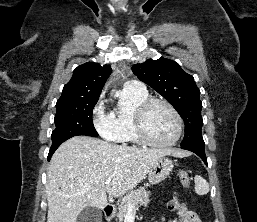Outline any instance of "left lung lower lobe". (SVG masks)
<instances>
[{
	"label": "left lung lower lobe",
	"instance_id": "left-lung-lower-lobe-1",
	"mask_svg": "<svg viewBox=\"0 0 257 222\" xmlns=\"http://www.w3.org/2000/svg\"><path fill=\"white\" fill-rule=\"evenodd\" d=\"M182 149L192 151L196 153L207 165V158L205 155V149L204 148H199V147H181Z\"/></svg>",
	"mask_w": 257,
	"mask_h": 222
}]
</instances>
